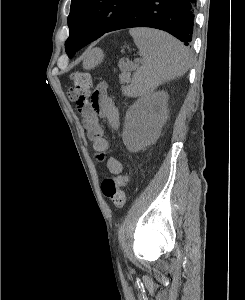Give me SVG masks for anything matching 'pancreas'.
<instances>
[{"label":"pancreas","mask_w":245,"mask_h":300,"mask_svg":"<svg viewBox=\"0 0 245 300\" xmlns=\"http://www.w3.org/2000/svg\"><path fill=\"white\" fill-rule=\"evenodd\" d=\"M131 69H133V68L130 66L127 69H124L122 71V73H121V75L119 77L120 78V82L122 84L130 82V73H128L127 70H131Z\"/></svg>","instance_id":"1"}]
</instances>
